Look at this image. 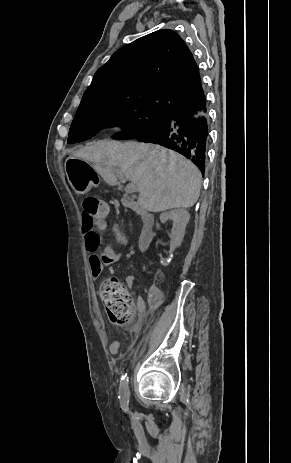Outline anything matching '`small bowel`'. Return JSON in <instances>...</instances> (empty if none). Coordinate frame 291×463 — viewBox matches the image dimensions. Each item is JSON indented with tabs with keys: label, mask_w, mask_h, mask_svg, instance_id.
Instances as JSON below:
<instances>
[{
	"label": "small bowel",
	"mask_w": 291,
	"mask_h": 463,
	"mask_svg": "<svg viewBox=\"0 0 291 463\" xmlns=\"http://www.w3.org/2000/svg\"><path fill=\"white\" fill-rule=\"evenodd\" d=\"M107 217V216H106ZM106 217H98L96 229H83V244L84 249L90 255L89 257V273L90 276L97 280L101 277L102 271L105 267H111L115 265L124 256L130 253L129 250L123 252H117L113 247L102 248V235L110 227ZM112 230L116 234L117 240L121 244L127 243L125 234L120 230L117 225L112 226ZM126 285L131 288L135 283V277L130 275L125 279ZM151 291H157L152 289ZM145 314V306L142 298H139L137 303V317L140 323L143 320ZM110 352L116 355L120 352V344L114 342L110 346Z\"/></svg>",
	"instance_id": "small-bowel-1"
}]
</instances>
